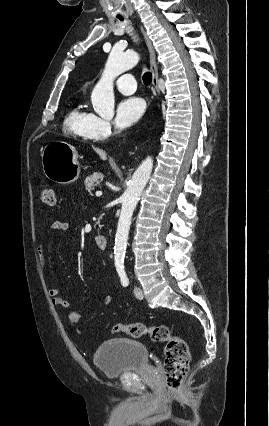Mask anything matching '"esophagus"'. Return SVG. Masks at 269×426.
I'll return each instance as SVG.
<instances>
[{
	"label": "esophagus",
	"mask_w": 269,
	"mask_h": 426,
	"mask_svg": "<svg viewBox=\"0 0 269 426\" xmlns=\"http://www.w3.org/2000/svg\"><path fill=\"white\" fill-rule=\"evenodd\" d=\"M141 31L143 33V37L146 43V46L148 48L149 51V58H150V70L152 73V88L155 94L159 93V89H158V68H157V63H156V54H155V50L154 47L152 45L151 40L149 39L147 33L145 32V30L141 27Z\"/></svg>",
	"instance_id": "1"
}]
</instances>
